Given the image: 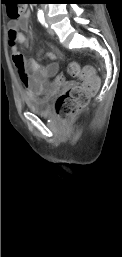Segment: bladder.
I'll list each match as a JSON object with an SVG mask.
<instances>
[{
    "mask_svg": "<svg viewBox=\"0 0 122 257\" xmlns=\"http://www.w3.org/2000/svg\"><path fill=\"white\" fill-rule=\"evenodd\" d=\"M50 101V96L29 97L25 99L26 106L29 110L40 116H46L49 114L51 110Z\"/></svg>",
    "mask_w": 122,
    "mask_h": 257,
    "instance_id": "1",
    "label": "bladder"
}]
</instances>
